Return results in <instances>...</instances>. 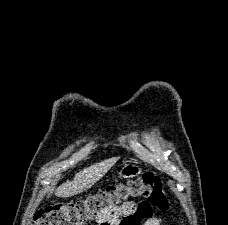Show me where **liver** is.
I'll list each match as a JSON object with an SVG mask.
<instances>
[{
    "instance_id": "6515ba94",
    "label": "liver",
    "mask_w": 228,
    "mask_h": 225,
    "mask_svg": "<svg viewBox=\"0 0 228 225\" xmlns=\"http://www.w3.org/2000/svg\"><path fill=\"white\" fill-rule=\"evenodd\" d=\"M119 159L120 157H112V159H106V161H101V163H96V165L79 171L73 181L63 183L58 189H50L49 195L55 191L56 197H73V195H79V193L91 189L94 183L100 181Z\"/></svg>"
}]
</instances>
